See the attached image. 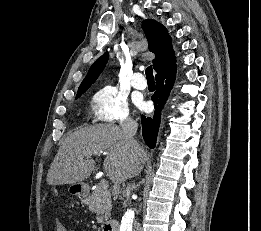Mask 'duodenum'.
Instances as JSON below:
<instances>
[{
    "label": "duodenum",
    "instance_id": "410a0bca",
    "mask_svg": "<svg viewBox=\"0 0 261 231\" xmlns=\"http://www.w3.org/2000/svg\"><path fill=\"white\" fill-rule=\"evenodd\" d=\"M120 223L117 220H110L103 226V231H119Z\"/></svg>",
    "mask_w": 261,
    "mask_h": 231
}]
</instances>
